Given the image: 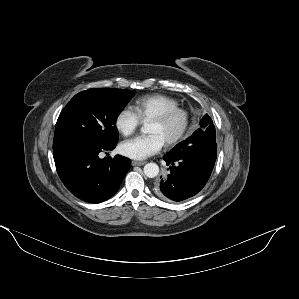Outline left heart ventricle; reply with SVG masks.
<instances>
[{
  "label": "left heart ventricle",
  "instance_id": "b2bd125f",
  "mask_svg": "<svg viewBox=\"0 0 299 299\" xmlns=\"http://www.w3.org/2000/svg\"><path fill=\"white\" fill-rule=\"evenodd\" d=\"M180 125L181 118L179 116H175L165 123H158L151 120L148 126V132L151 134H159L165 141L173 134H175V132L179 129Z\"/></svg>",
  "mask_w": 299,
  "mask_h": 299
}]
</instances>
